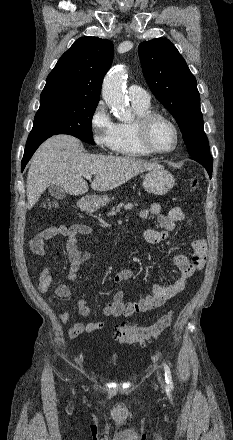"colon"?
Masks as SVG:
<instances>
[{
	"instance_id": "1",
	"label": "colon",
	"mask_w": 233,
	"mask_h": 440,
	"mask_svg": "<svg viewBox=\"0 0 233 440\" xmlns=\"http://www.w3.org/2000/svg\"><path fill=\"white\" fill-rule=\"evenodd\" d=\"M199 178L193 177L188 185V190L194 192L199 187ZM43 207L46 210H56L58 204L54 201H47ZM173 313H168L157 319L153 324L140 326L137 324H120L114 328L115 340L122 344H137L144 346L148 341L157 338L172 323Z\"/></svg>"
}]
</instances>
